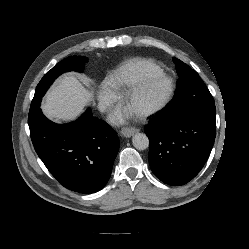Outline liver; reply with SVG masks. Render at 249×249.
<instances>
[{"mask_svg": "<svg viewBox=\"0 0 249 249\" xmlns=\"http://www.w3.org/2000/svg\"><path fill=\"white\" fill-rule=\"evenodd\" d=\"M93 97V91L75 76L65 75L47 93L41 108L48 118L68 122L75 120Z\"/></svg>", "mask_w": 249, "mask_h": 249, "instance_id": "1", "label": "liver"}]
</instances>
